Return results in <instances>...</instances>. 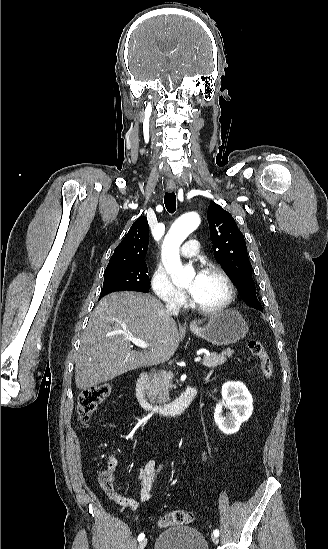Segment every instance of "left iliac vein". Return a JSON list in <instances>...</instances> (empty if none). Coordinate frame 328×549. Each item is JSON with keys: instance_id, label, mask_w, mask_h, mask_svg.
Wrapping results in <instances>:
<instances>
[{"instance_id": "left-iliac-vein-1", "label": "left iliac vein", "mask_w": 328, "mask_h": 549, "mask_svg": "<svg viewBox=\"0 0 328 549\" xmlns=\"http://www.w3.org/2000/svg\"><path fill=\"white\" fill-rule=\"evenodd\" d=\"M211 539H212V541H213L215 544H217V543L219 542L217 536H214V535H213V536L211 537Z\"/></svg>"}]
</instances>
